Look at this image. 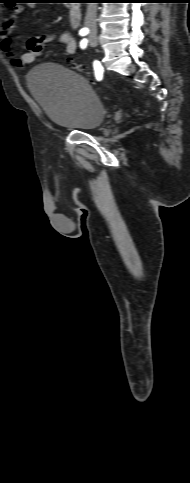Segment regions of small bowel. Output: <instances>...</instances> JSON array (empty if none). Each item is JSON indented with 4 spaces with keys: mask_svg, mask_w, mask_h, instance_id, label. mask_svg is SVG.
<instances>
[{
    "mask_svg": "<svg viewBox=\"0 0 190 483\" xmlns=\"http://www.w3.org/2000/svg\"><path fill=\"white\" fill-rule=\"evenodd\" d=\"M24 10L25 6L16 7L0 28V49L13 65L24 67L32 63L46 46L53 43L63 44L68 55L75 54L77 49L76 40L69 32L64 31L58 34H48L29 39L25 44L27 51L22 56L17 57L13 53L10 36L16 28L19 16Z\"/></svg>",
    "mask_w": 190,
    "mask_h": 483,
    "instance_id": "c3829d8e",
    "label": "small bowel"
}]
</instances>
